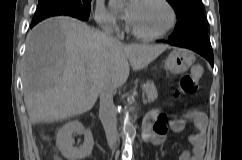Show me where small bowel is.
I'll return each instance as SVG.
<instances>
[{"label": "small bowel", "mask_w": 242, "mask_h": 160, "mask_svg": "<svg viewBox=\"0 0 242 160\" xmlns=\"http://www.w3.org/2000/svg\"><path fill=\"white\" fill-rule=\"evenodd\" d=\"M185 120H189L194 124V132L190 135L189 141L192 145V152L184 151L179 160H203L205 151V127L206 120L201 113L189 112L185 119L173 118L165 126L164 132H158L154 129V121L152 117L147 116L143 121L144 140L154 146H160L165 142L168 130L173 133H180L184 129Z\"/></svg>", "instance_id": "small-bowel-1"}]
</instances>
